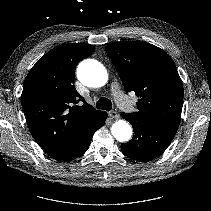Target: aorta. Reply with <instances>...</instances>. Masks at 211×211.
<instances>
[{
  "label": "aorta",
  "instance_id": "762f6f07",
  "mask_svg": "<svg viewBox=\"0 0 211 211\" xmlns=\"http://www.w3.org/2000/svg\"><path fill=\"white\" fill-rule=\"evenodd\" d=\"M79 81L88 87H101L108 80L106 68L94 59L82 61L77 68ZM114 138L120 142L128 141L132 136V128L125 120L116 121L111 128Z\"/></svg>",
  "mask_w": 211,
  "mask_h": 211
}]
</instances>
